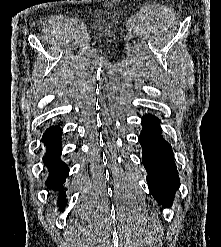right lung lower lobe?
<instances>
[{
	"mask_svg": "<svg viewBox=\"0 0 221 247\" xmlns=\"http://www.w3.org/2000/svg\"><path fill=\"white\" fill-rule=\"evenodd\" d=\"M61 134L62 131L58 126L50 127L43 135L42 141L47 146V152L44 157V162L50 171V176L47 179V186L51 189L61 191L59 205L65 207L66 200L64 199L63 183L68 176V166L61 162Z\"/></svg>",
	"mask_w": 221,
	"mask_h": 247,
	"instance_id": "98d812e1",
	"label": "right lung lower lobe"
}]
</instances>
